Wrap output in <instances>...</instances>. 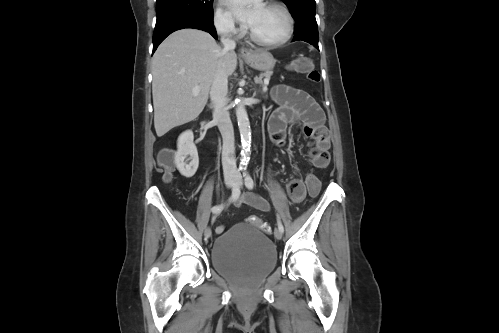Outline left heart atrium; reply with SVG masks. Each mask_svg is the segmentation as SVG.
<instances>
[{"label": "left heart atrium", "instance_id": "1", "mask_svg": "<svg viewBox=\"0 0 499 333\" xmlns=\"http://www.w3.org/2000/svg\"><path fill=\"white\" fill-rule=\"evenodd\" d=\"M225 3L233 16L249 27L264 7L262 0H225Z\"/></svg>", "mask_w": 499, "mask_h": 333}]
</instances>
